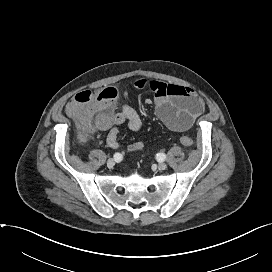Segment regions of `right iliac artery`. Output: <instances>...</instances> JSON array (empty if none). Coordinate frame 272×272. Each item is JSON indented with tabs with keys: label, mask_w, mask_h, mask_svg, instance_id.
I'll list each match as a JSON object with an SVG mask.
<instances>
[{
	"label": "right iliac artery",
	"mask_w": 272,
	"mask_h": 272,
	"mask_svg": "<svg viewBox=\"0 0 272 272\" xmlns=\"http://www.w3.org/2000/svg\"><path fill=\"white\" fill-rule=\"evenodd\" d=\"M113 157H114V160L117 162L122 160V155L120 153H115Z\"/></svg>",
	"instance_id": "1"
}]
</instances>
